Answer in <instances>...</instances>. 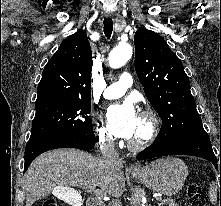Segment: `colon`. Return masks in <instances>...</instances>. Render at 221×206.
Wrapping results in <instances>:
<instances>
[{
    "instance_id": "colon-1",
    "label": "colon",
    "mask_w": 221,
    "mask_h": 206,
    "mask_svg": "<svg viewBox=\"0 0 221 206\" xmlns=\"http://www.w3.org/2000/svg\"><path fill=\"white\" fill-rule=\"evenodd\" d=\"M191 206H207V196L197 183H191L187 187ZM43 206H59L53 199L44 201Z\"/></svg>"
}]
</instances>
